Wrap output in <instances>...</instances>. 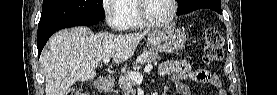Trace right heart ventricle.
Here are the masks:
<instances>
[{
  "instance_id": "right-heart-ventricle-1",
  "label": "right heart ventricle",
  "mask_w": 277,
  "mask_h": 95,
  "mask_svg": "<svg viewBox=\"0 0 277 95\" xmlns=\"http://www.w3.org/2000/svg\"><path fill=\"white\" fill-rule=\"evenodd\" d=\"M136 2L137 0H124L120 7L124 11L123 16V27L125 28H138L145 26V24L141 21L138 16L136 10Z\"/></svg>"
}]
</instances>
